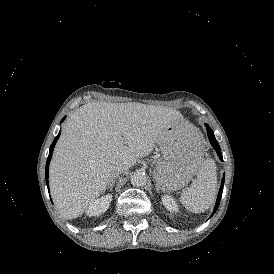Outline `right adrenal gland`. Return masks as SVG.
Returning a JSON list of instances; mask_svg holds the SVG:
<instances>
[{
	"instance_id": "1",
	"label": "right adrenal gland",
	"mask_w": 274,
	"mask_h": 274,
	"mask_svg": "<svg viewBox=\"0 0 274 274\" xmlns=\"http://www.w3.org/2000/svg\"><path fill=\"white\" fill-rule=\"evenodd\" d=\"M115 180H116V179H114V180L112 181V183L107 187V188H110V191L113 190V187H114V184H115Z\"/></svg>"
}]
</instances>
